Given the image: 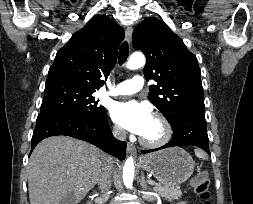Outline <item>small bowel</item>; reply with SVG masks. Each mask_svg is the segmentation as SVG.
Listing matches in <instances>:
<instances>
[{
    "mask_svg": "<svg viewBox=\"0 0 253 204\" xmlns=\"http://www.w3.org/2000/svg\"><path fill=\"white\" fill-rule=\"evenodd\" d=\"M178 204H187L186 202H180V203H178Z\"/></svg>",
    "mask_w": 253,
    "mask_h": 204,
    "instance_id": "c3829d8e",
    "label": "small bowel"
}]
</instances>
